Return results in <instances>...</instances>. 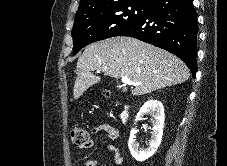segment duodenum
<instances>
[{
    "label": "duodenum",
    "instance_id": "duodenum-1",
    "mask_svg": "<svg viewBox=\"0 0 227 166\" xmlns=\"http://www.w3.org/2000/svg\"><path fill=\"white\" fill-rule=\"evenodd\" d=\"M119 117H120V120H121L122 123H126L128 121V119H129V107H128L127 104L123 105V108L120 112Z\"/></svg>",
    "mask_w": 227,
    "mask_h": 166
}]
</instances>
